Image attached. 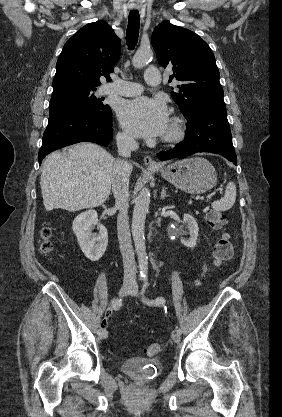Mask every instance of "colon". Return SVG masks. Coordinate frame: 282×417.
<instances>
[{"label": "colon", "mask_w": 282, "mask_h": 417, "mask_svg": "<svg viewBox=\"0 0 282 417\" xmlns=\"http://www.w3.org/2000/svg\"><path fill=\"white\" fill-rule=\"evenodd\" d=\"M205 219L208 225L219 232L226 227L228 219L225 213L219 210L210 209L205 214ZM53 236V230L50 226H45L41 231L42 243L41 252L50 255L53 253V245L51 238ZM234 253V246L231 239L227 235H219L214 242L213 248V264L216 267H220L223 264L229 262ZM163 349V344L160 342L150 343L146 347V355L148 357H156Z\"/></svg>", "instance_id": "colon-1"}]
</instances>
